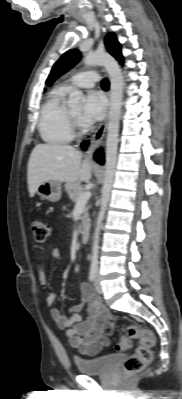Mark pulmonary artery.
Here are the masks:
<instances>
[{
	"instance_id": "e3ab8cb5",
	"label": "pulmonary artery",
	"mask_w": 182,
	"mask_h": 399,
	"mask_svg": "<svg viewBox=\"0 0 182 399\" xmlns=\"http://www.w3.org/2000/svg\"><path fill=\"white\" fill-rule=\"evenodd\" d=\"M99 80V74L96 71L89 70L73 75L70 79L67 80L63 87L67 90H70L72 88H91Z\"/></svg>"
}]
</instances>
